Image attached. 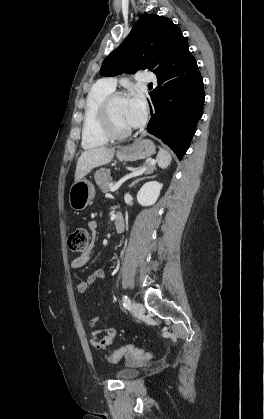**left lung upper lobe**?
<instances>
[{"mask_svg":"<svg viewBox=\"0 0 264 419\" xmlns=\"http://www.w3.org/2000/svg\"><path fill=\"white\" fill-rule=\"evenodd\" d=\"M181 34L168 18L144 15L134 24L124 42L106 57L100 73L115 76L144 69L156 73L161 67L166 47Z\"/></svg>","mask_w":264,"mask_h":419,"instance_id":"1","label":"left lung upper lobe"}]
</instances>
